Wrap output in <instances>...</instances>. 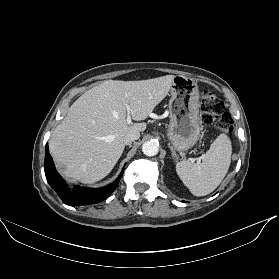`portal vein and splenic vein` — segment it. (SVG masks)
<instances>
[{
  "label": "portal vein and splenic vein",
  "mask_w": 279,
  "mask_h": 279,
  "mask_svg": "<svg viewBox=\"0 0 279 279\" xmlns=\"http://www.w3.org/2000/svg\"><path fill=\"white\" fill-rule=\"evenodd\" d=\"M130 114H131V108L129 106H127V119H126V121H127L128 124L132 123Z\"/></svg>",
  "instance_id": "portal-vein-and-splenic-vein-1"
}]
</instances>
